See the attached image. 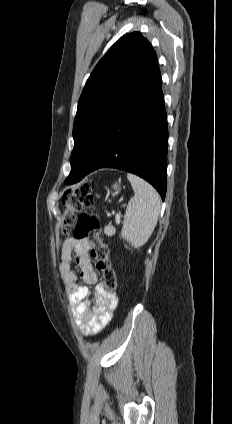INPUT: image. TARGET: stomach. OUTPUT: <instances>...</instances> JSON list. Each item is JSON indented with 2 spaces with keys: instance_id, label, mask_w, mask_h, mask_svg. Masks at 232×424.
I'll use <instances>...</instances> for the list:
<instances>
[{
  "instance_id": "stomach-1",
  "label": "stomach",
  "mask_w": 232,
  "mask_h": 424,
  "mask_svg": "<svg viewBox=\"0 0 232 424\" xmlns=\"http://www.w3.org/2000/svg\"><path fill=\"white\" fill-rule=\"evenodd\" d=\"M119 189H120V187L117 184L114 185V190H115V193L114 194H117L118 191H119Z\"/></svg>"
}]
</instances>
